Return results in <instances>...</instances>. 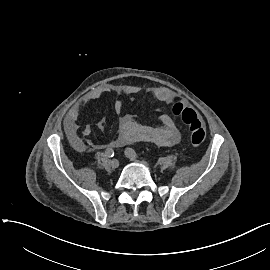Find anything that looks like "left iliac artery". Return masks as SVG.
<instances>
[{
    "instance_id": "1",
    "label": "left iliac artery",
    "mask_w": 270,
    "mask_h": 270,
    "mask_svg": "<svg viewBox=\"0 0 270 270\" xmlns=\"http://www.w3.org/2000/svg\"><path fill=\"white\" fill-rule=\"evenodd\" d=\"M125 153H128V154H130L131 156H134V157H138L137 153H136L135 150L132 149V148H127V149L125 150Z\"/></svg>"
}]
</instances>
